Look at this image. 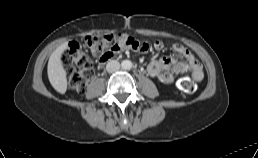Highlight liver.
Returning a JSON list of instances; mask_svg holds the SVG:
<instances>
[{"mask_svg":"<svg viewBox=\"0 0 258 158\" xmlns=\"http://www.w3.org/2000/svg\"><path fill=\"white\" fill-rule=\"evenodd\" d=\"M67 48L68 42L58 46L50 55L47 66L48 79L52 87L61 94L67 90L66 71L61 61V56Z\"/></svg>","mask_w":258,"mask_h":158,"instance_id":"obj_1","label":"liver"}]
</instances>
